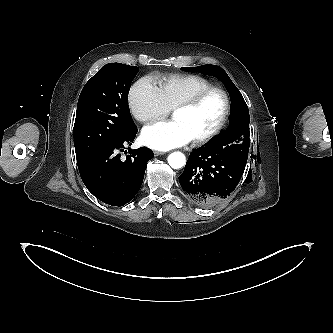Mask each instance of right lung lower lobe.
<instances>
[{
	"label": "right lung lower lobe",
	"mask_w": 333,
	"mask_h": 333,
	"mask_svg": "<svg viewBox=\"0 0 333 333\" xmlns=\"http://www.w3.org/2000/svg\"><path fill=\"white\" fill-rule=\"evenodd\" d=\"M137 128L123 139L96 150L77 160L78 169L87 189L102 202L123 206L130 202L143 182L147 162L153 158L152 150L142 147L129 150L126 160L119 151L133 142Z\"/></svg>",
	"instance_id": "obj_1"
}]
</instances>
